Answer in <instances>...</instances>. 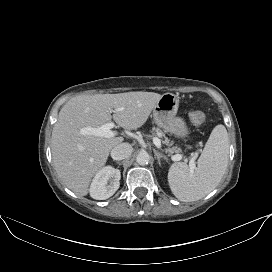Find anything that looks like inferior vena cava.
<instances>
[{"label": "inferior vena cava", "instance_id": "inferior-vena-cava-1", "mask_svg": "<svg viewBox=\"0 0 272 272\" xmlns=\"http://www.w3.org/2000/svg\"><path fill=\"white\" fill-rule=\"evenodd\" d=\"M132 151L133 148L129 143H121L111 150V157L113 160H123L129 158Z\"/></svg>", "mask_w": 272, "mask_h": 272}]
</instances>
